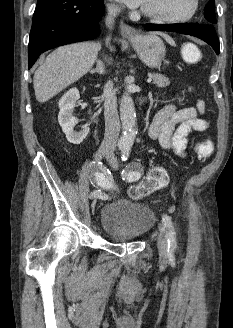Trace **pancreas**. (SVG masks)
<instances>
[{
    "label": "pancreas",
    "instance_id": "obj_1",
    "mask_svg": "<svg viewBox=\"0 0 233 328\" xmlns=\"http://www.w3.org/2000/svg\"><path fill=\"white\" fill-rule=\"evenodd\" d=\"M152 79H153V84H155L157 87H166L170 85L169 78L165 77L164 75L161 74H152Z\"/></svg>",
    "mask_w": 233,
    "mask_h": 328
}]
</instances>
